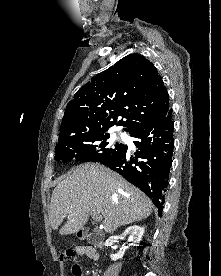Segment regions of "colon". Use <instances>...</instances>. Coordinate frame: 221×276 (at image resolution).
<instances>
[{
  "mask_svg": "<svg viewBox=\"0 0 221 276\" xmlns=\"http://www.w3.org/2000/svg\"><path fill=\"white\" fill-rule=\"evenodd\" d=\"M74 258H75V253H74L73 250H66L65 252H63V253L61 254V260H62V261H67V262H69V261H73ZM73 272H74L75 275L81 276V269H80L79 266H77V265L74 266Z\"/></svg>",
  "mask_w": 221,
  "mask_h": 276,
  "instance_id": "1",
  "label": "colon"
}]
</instances>
